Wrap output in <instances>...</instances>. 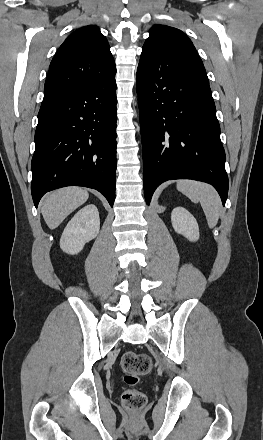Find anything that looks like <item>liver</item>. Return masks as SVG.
Masks as SVG:
<instances>
[{
	"mask_svg": "<svg viewBox=\"0 0 263 440\" xmlns=\"http://www.w3.org/2000/svg\"><path fill=\"white\" fill-rule=\"evenodd\" d=\"M88 197V192L79 187H67L49 194L41 206V213L48 227L57 228L71 212L85 203Z\"/></svg>",
	"mask_w": 263,
	"mask_h": 440,
	"instance_id": "liver-1",
	"label": "liver"
}]
</instances>
